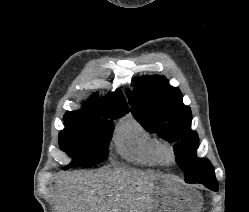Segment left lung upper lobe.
Wrapping results in <instances>:
<instances>
[{"mask_svg": "<svg viewBox=\"0 0 249 212\" xmlns=\"http://www.w3.org/2000/svg\"><path fill=\"white\" fill-rule=\"evenodd\" d=\"M134 118L150 133L174 144L176 162L189 183L216 180L214 168L206 158L196 157L198 135L191 130L190 108L182 103L178 88L161 75L142 77L133 91H126Z\"/></svg>", "mask_w": 249, "mask_h": 212, "instance_id": "obj_1", "label": "left lung upper lobe"}]
</instances>
